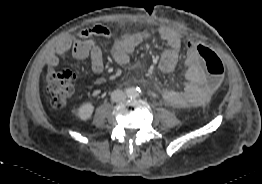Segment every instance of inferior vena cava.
Masks as SVG:
<instances>
[{
    "mask_svg": "<svg viewBox=\"0 0 262 184\" xmlns=\"http://www.w3.org/2000/svg\"><path fill=\"white\" fill-rule=\"evenodd\" d=\"M126 99V94L121 90H114L111 93V100L114 102H121Z\"/></svg>",
    "mask_w": 262,
    "mask_h": 184,
    "instance_id": "obj_1",
    "label": "inferior vena cava"
}]
</instances>
